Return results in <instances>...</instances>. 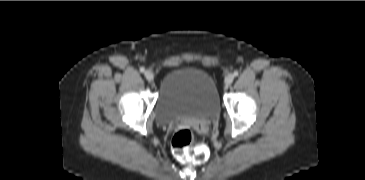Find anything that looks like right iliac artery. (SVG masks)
<instances>
[{"label": "right iliac artery", "mask_w": 365, "mask_h": 180, "mask_svg": "<svg viewBox=\"0 0 365 180\" xmlns=\"http://www.w3.org/2000/svg\"><path fill=\"white\" fill-rule=\"evenodd\" d=\"M140 72H142V73L145 72V68L144 67H141L140 68Z\"/></svg>", "instance_id": "1"}]
</instances>
